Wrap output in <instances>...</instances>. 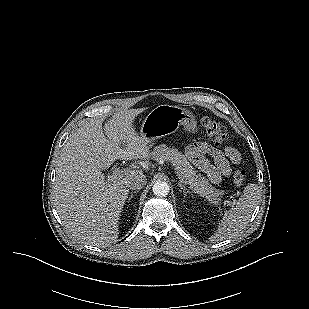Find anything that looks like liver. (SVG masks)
<instances>
[{
  "label": "liver",
  "instance_id": "obj_1",
  "mask_svg": "<svg viewBox=\"0 0 309 309\" xmlns=\"http://www.w3.org/2000/svg\"><path fill=\"white\" fill-rule=\"evenodd\" d=\"M144 109L115 113L103 128L102 119H91L78 128L62 148L54 183V205L65 228L77 240L97 247L115 242L119 219L128 197V178L142 173L130 165L123 175L108 176L117 159L150 158L147 140L133 126ZM148 167L147 161L142 164Z\"/></svg>",
  "mask_w": 309,
  "mask_h": 309
}]
</instances>
